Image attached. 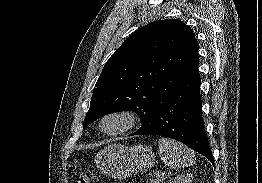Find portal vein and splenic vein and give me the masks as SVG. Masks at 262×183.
I'll return each mask as SVG.
<instances>
[{
	"label": "portal vein and splenic vein",
	"instance_id": "1",
	"mask_svg": "<svg viewBox=\"0 0 262 183\" xmlns=\"http://www.w3.org/2000/svg\"><path fill=\"white\" fill-rule=\"evenodd\" d=\"M161 178H164V175L162 174Z\"/></svg>",
	"mask_w": 262,
	"mask_h": 183
}]
</instances>
